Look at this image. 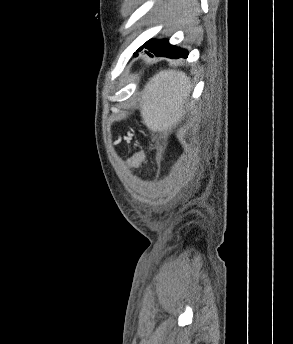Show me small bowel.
I'll use <instances>...</instances> for the list:
<instances>
[{
    "label": "small bowel",
    "instance_id": "1",
    "mask_svg": "<svg viewBox=\"0 0 293 344\" xmlns=\"http://www.w3.org/2000/svg\"><path fill=\"white\" fill-rule=\"evenodd\" d=\"M146 162V157L143 153H139L134 157V161L132 163L133 167H139Z\"/></svg>",
    "mask_w": 293,
    "mask_h": 344
}]
</instances>
